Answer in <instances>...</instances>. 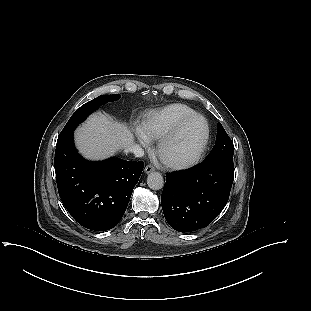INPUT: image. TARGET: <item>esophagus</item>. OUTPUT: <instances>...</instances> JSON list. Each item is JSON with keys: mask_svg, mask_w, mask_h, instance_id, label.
<instances>
[{"mask_svg": "<svg viewBox=\"0 0 311 311\" xmlns=\"http://www.w3.org/2000/svg\"><path fill=\"white\" fill-rule=\"evenodd\" d=\"M154 170H155L154 166L151 165V164H149V165H147V166L145 167L144 172H145L146 174H148V173H150V172H152V171H154Z\"/></svg>", "mask_w": 311, "mask_h": 311, "instance_id": "esophagus-1", "label": "esophagus"}]
</instances>
